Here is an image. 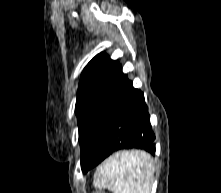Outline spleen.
<instances>
[{"label": "spleen", "instance_id": "3e777b00", "mask_svg": "<svg viewBox=\"0 0 221 193\" xmlns=\"http://www.w3.org/2000/svg\"><path fill=\"white\" fill-rule=\"evenodd\" d=\"M154 167L150 155L144 151L117 152L94 174L93 184L98 189L114 193H150Z\"/></svg>", "mask_w": 221, "mask_h": 193}]
</instances>
